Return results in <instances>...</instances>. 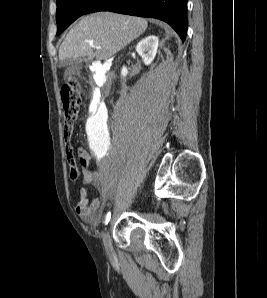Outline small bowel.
<instances>
[{"label":"small bowel","mask_w":267,"mask_h":298,"mask_svg":"<svg viewBox=\"0 0 267 298\" xmlns=\"http://www.w3.org/2000/svg\"><path fill=\"white\" fill-rule=\"evenodd\" d=\"M94 179V173L89 169L84 171V182L89 186ZM111 193L105 192L101 198L88 199V187H84L80 192V201L76 206L77 214L87 223L95 224L99 220V213L103 206L107 203Z\"/></svg>","instance_id":"obj_1"}]
</instances>
